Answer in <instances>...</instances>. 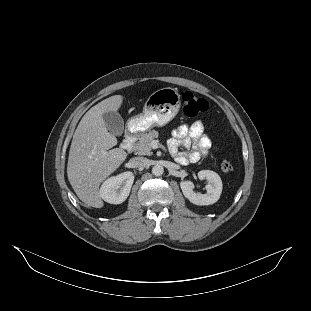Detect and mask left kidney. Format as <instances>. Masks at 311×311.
Segmentation results:
<instances>
[{"label":"left kidney","mask_w":311,"mask_h":311,"mask_svg":"<svg viewBox=\"0 0 311 311\" xmlns=\"http://www.w3.org/2000/svg\"><path fill=\"white\" fill-rule=\"evenodd\" d=\"M198 175L200 178H206L208 180L205 186L207 193H197L192 189L191 183L183 182L181 183L183 194L196 205H210L217 202L223 189L220 176L211 170H201Z\"/></svg>","instance_id":"5707ae66"}]
</instances>
